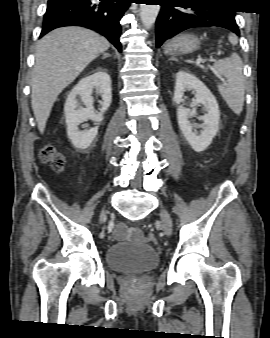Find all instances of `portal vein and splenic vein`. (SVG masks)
<instances>
[{"mask_svg": "<svg viewBox=\"0 0 270 338\" xmlns=\"http://www.w3.org/2000/svg\"><path fill=\"white\" fill-rule=\"evenodd\" d=\"M201 62H202V59H201V58H199V59H197V61H196V64H197V65H200V64H201Z\"/></svg>", "mask_w": 270, "mask_h": 338, "instance_id": "18ae733b", "label": "portal vein and splenic vein"}]
</instances>
